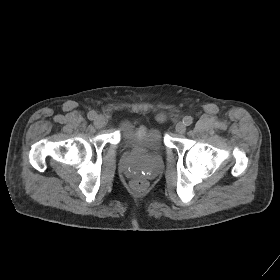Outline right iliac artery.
<instances>
[{"instance_id":"right-iliac-artery-1","label":"right iliac artery","mask_w":280,"mask_h":280,"mask_svg":"<svg viewBox=\"0 0 280 280\" xmlns=\"http://www.w3.org/2000/svg\"><path fill=\"white\" fill-rule=\"evenodd\" d=\"M87 116L88 119L95 120L97 118V113L95 111H90Z\"/></svg>"}]
</instances>
